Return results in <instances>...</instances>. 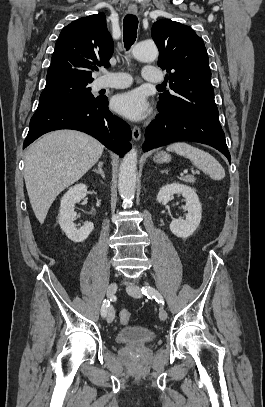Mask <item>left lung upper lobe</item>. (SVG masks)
Here are the masks:
<instances>
[{"label":"left lung upper lobe","mask_w":265,"mask_h":407,"mask_svg":"<svg viewBox=\"0 0 265 407\" xmlns=\"http://www.w3.org/2000/svg\"><path fill=\"white\" fill-rule=\"evenodd\" d=\"M152 38L159 49L158 66L167 70L165 81L173 90L160 94L158 111L189 114L221 126L202 38L189 26L169 19L153 24Z\"/></svg>","instance_id":"5c2ea615"}]
</instances>
